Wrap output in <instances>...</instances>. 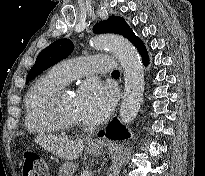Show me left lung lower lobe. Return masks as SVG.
Masks as SVG:
<instances>
[{
  "instance_id": "obj_1",
  "label": "left lung lower lobe",
  "mask_w": 205,
  "mask_h": 176,
  "mask_svg": "<svg viewBox=\"0 0 205 176\" xmlns=\"http://www.w3.org/2000/svg\"><path fill=\"white\" fill-rule=\"evenodd\" d=\"M128 39L134 44V46L138 49L140 55L142 56V61L144 65H147L149 62L148 53L145 48V45L143 42L134 34L132 31L128 37ZM106 135L109 139H115V140H123L129 138L130 134L128 133V130L125 129V126H123L117 118H115L109 126L106 128V131H101L99 133V136Z\"/></svg>"
}]
</instances>
